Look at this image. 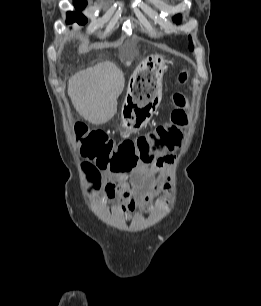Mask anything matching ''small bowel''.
<instances>
[{"label": "small bowel", "instance_id": "1", "mask_svg": "<svg viewBox=\"0 0 261 306\" xmlns=\"http://www.w3.org/2000/svg\"><path fill=\"white\" fill-rule=\"evenodd\" d=\"M175 159L174 154H165L147 166L110 171L106 184L108 199L118 202V209L127 220H130L137 210L147 213L159 193L170 191L167 177ZM166 203V198L156 200V205L160 207Z\"/></svg>", "mask_w": 261, "mask_h": 306}]
</instances>
